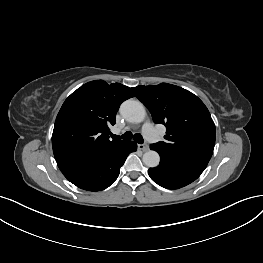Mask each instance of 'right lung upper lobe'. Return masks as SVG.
<instances>
[{"label": "right lung upper lobe", "instance_id": "1", "mask_svg": "<svg viewBox=\"0 0 263 263\" xmlns=\"http://www.w3.org/2000/svg\"><path fill=\"white\" fill-rule=\"evenodd\" d=\"M131 89L103 80L88 82L63 103L54 125L52 147L61 172L88 164L127 141L109 139L120 104Z\"/></svg>", "mask_w": 263, "mask_h": 263}]
</instances>
